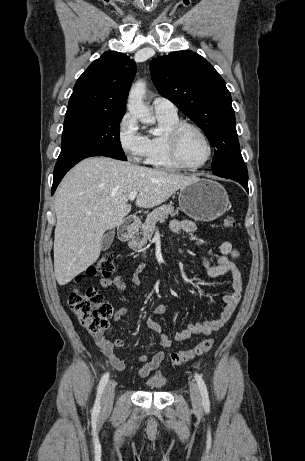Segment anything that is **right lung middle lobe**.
Masks as SVG:
<instances>
[{
	"mask_svg": "<svg viewBox=\"0 0 305 461\" xmlns=\"http://www.w3.org/2000/svg\"><path fill=\"white\" fill-rule=\"evenodd\" d=\"M123 115L89 108L67 109L58 160L89 152L127 160L119 139Z\"/></svg>",
	"mask_w": 305,
	"mask_h": 461,
	"instance_id": "right-lung-middle-lobe-1",
	"label": "right lung middle lobe"
}]
</instances>
